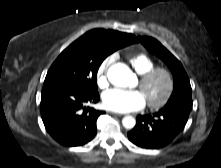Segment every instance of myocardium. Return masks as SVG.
I'll list each match as a JSON object with an SVG mask.
<instances>
[{
  "label": "myocardium",
  "instance_id": "1",
  "mask_svg": "<svg viewBox=\"0 0 221 168\" xmlns=\"http://www.w3.org/2000/svg\"><path fill=\"white\" fill-rule=\"evenodd\" d=\"M162 75L166 80V90L163 94L162 98L158 101H147V105L150 109L157 110L164 107L169 100L171 99L174 88H175V80L173 73L170 69L166 67H154L153 69L145 72L140 75L139 83L140 86L147 85L150 81H152L156 76Z\"/></svg>",
  "mask_w": 221,
  "mask_h": 168
}]
</instances>
